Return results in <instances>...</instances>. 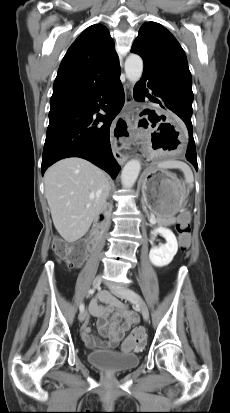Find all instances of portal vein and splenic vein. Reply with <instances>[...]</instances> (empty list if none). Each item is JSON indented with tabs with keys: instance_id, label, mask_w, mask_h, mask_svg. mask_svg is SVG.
<instances>
[{
	"instance_id": "18ae733b",
	"label": "portal vein and splenic vein",
	"mask_w": 230,
	"mask_h": 413,
	"mask_svg": "<svg viewBox=\"0 0 230 413\" xmlns=\"http://www.w3.org/2000/svg\"><path fill=\"white\" fill-rule=\"evenodd\" d=\"M151 222H152V223H155V222H156V220H155V219H151Z\"/></svg>"
}]
</instances>
